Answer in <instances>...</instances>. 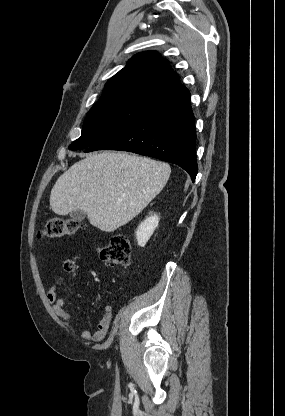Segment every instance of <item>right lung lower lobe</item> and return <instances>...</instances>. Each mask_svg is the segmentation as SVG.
Masks as SVG:
<instances>
[{
	"instance_id": "98d812e1",
	"label": "right lung lower lobe",
	"mask_w": 285,
	"mask_h": 416,
	"mask_svg": "<svg viewBox=\"0 0 285 416\" xmlns=\"http://www.w3.org/2000/svg\"><path fill=\"white\" fill-rule=\"evenodd\" d=\"M194 123L189 99L149 114L85 152L121 150L154 157L182 167L194 182L198 172Z\"/></svg>"
}]
</instances>
